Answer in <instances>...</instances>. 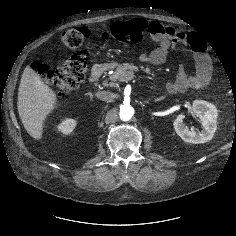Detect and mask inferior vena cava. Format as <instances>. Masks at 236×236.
<instances>
[{
	"instance_id": "1",
	"label": "inferior vena cava",
	"mask_w": 236,
	"mask_h": 236,
	"mask_svg": "<svg viewBox=\"0 0 236 236\" xmlns=\"http://www.w3.org/2000/svg\"><path fill=\"white\" fill-rule=\"evenodd\" d=\"M96 97L102 101H110L113 99V94L109 91H99L96 93Z\"/></svg>"
}]
</instances>
